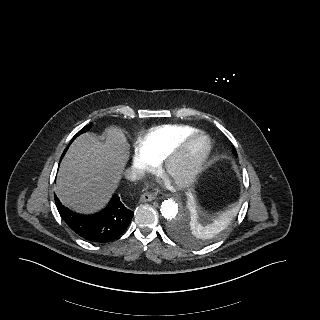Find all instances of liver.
<instances>
[{
	"label": "liver",
	"mask_w": 320,
	"mask_h": 320,
	"mask_svg": "<svg viewBox=\"0 0 320 320\" xmlns=\"http://www.w3.org/2000/svg\"><path fill=\"white\" fill-rule=\"evenodd\" d=\"M126 148L117 127L105 131L103 143L89 133L79 136L59 167L54 189L62 204L78 213L103 207L121 178Z\"/></svg>",
	"instance_id": "6515ba94"
}]
</instances>
